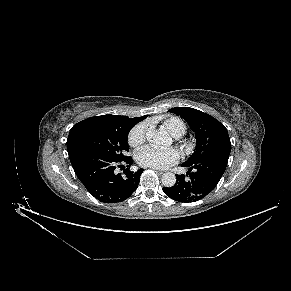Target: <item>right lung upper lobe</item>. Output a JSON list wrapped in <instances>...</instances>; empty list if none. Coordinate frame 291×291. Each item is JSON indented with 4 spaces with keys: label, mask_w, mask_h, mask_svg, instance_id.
Masks as SVG:
<instances>
[{
    "label": "right lung upper lobe",
    "mask_w": 291,
    "mask_h": 291,
    "mask_svg": "<svg viewBox=\"0 0 291 291\" xmlns=\"http://www.w3.org/2000/svg\"><path fill=\"white\" fill-rule=\"evenodd\" d=\"M147 115L142 117L129 118L127 116L118 115H101L85 119L75 124L69 133L67 139V150L71 152L80 147L78 144L79 138L88 131L111 126H127L132 128L138 122L144 120Z\"/></svg>",
    "instance_id": "1"
}]
</instances>
